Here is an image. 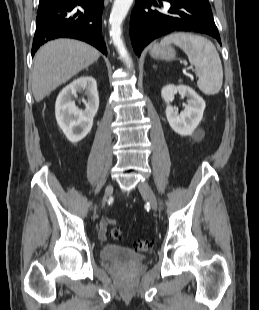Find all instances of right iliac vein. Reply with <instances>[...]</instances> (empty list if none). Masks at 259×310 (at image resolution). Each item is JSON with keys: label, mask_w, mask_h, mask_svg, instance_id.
<instances>
[{"label": "right iliac vein", "mask_w": 259, "mask_h": 310, "mask_svg": "<svg viewBox=\"0 0 259 310\" xmlns=\"http://www.w3.org/2000/svg\"><path fill=\"white\" fill-rule=\"evenodd\" d=\"M112 193H113V186L108 185L104 191V196H103V200H102V208L105 207V204H106L108 198L112 195Z\"/></svg>", "instance_id": "63e3f726"}]
</instances>
